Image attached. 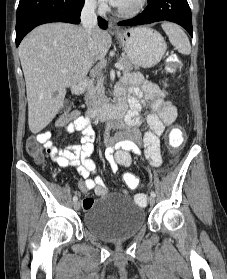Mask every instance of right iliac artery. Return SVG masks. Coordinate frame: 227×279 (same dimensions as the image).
Listing matches in <instances>:
<instances>
[{"instance_id": "obj_1", "label": "right iliac artery", "mask_w": 227, "mask_h": 279, "mask_svg": "<svg viewBox=\"0 0 227 279\" xmlns=\"http://www.w3.org/2000/svg\"><path fill=\"white\" fill-rule=\"evenodd\" d=\"M77 200H78V197L75 195V196L73 197V201L76 202Z\"/></svg>"}]
</instances>
